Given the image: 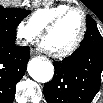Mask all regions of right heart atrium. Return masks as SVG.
<instances>
[{"label":"right heart atrium","instance_id":"1","mask_svg":"<svg viewBox=\"0 0 103 103\" xmlns=\"http://www.w3.org/2000/svg\"><path fill=\"white\" fill-rule=\"evenodd\" d=\"M16 35L21 43L26 44L33 41L38 34L28 23L20 22L16 27Z\"/></svg>","mask_w":103,"mask_h":103}]
</instances>
